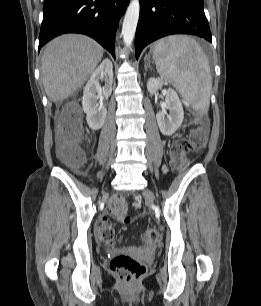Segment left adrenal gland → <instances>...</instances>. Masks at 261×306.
Masks as SVG:
<instances>
[{"label":"left adrenal gland","mask_w":261,"mask_h":306,"mask_svg":"<svg viewBox=\"0 0 261 306\" xmlns=\"http://www.w3.org/2000/svg\"><path fill=\"white\" fill-rule=\"evenodd\" d=\"M144 68H145L146 71H147L148 68L152 69L151 65L148 62H145Z\"/></svg>","instance_id":"obj_1"}]
</instances>
